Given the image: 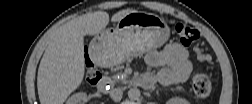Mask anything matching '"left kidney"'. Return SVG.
I'll return each instance as SVG.
<instances>
[{
  "label": "left kidney",
  "instance_id": "left-kidney-1",
  "mask_svg": "<svg viewBox=\"0 0 252 104\" xmlns=\"http://www.w3.org/2000/svg\"><path fill=\"white\" fill-rule=\"evenodd\" d=\"M169 102L171 104H186L187 101L185 99L179 98V97H175V98H171L169 100Z\"/></svg>",
  "mask_w": 252,
  "mask_h": 104
}]
</instances>
